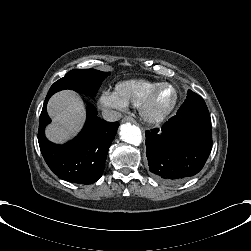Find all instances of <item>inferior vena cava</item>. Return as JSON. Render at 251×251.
Masks as SVG:
<instances>
[{
    "instance_id": "602c4592",
    "label": "inferior vena cava",
    "mask_w": 251,
    "mask_h": 251,
    "mask_svg": "<svg viewBox=\"0 0 251 251\" xmlns=\"http://www.w3.org/2000/svg\"><path fill=\"white\" fill-rule=\"evenodd\" d=\"M102 116H103L104 120L114 122V121L121 119L122 113L118 112L112 108H104L102 110Z\"/></svg>"
}]
</instances>
